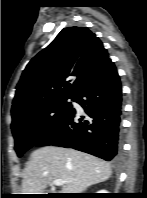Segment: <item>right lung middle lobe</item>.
<instances>
[{"mask_svg":"<svg viewBox=\"0 0 147 198\" xmlns=\"http://www.w3.org/2000/svg\"><path fill=\"white\" fill-rule=\"evenodd\" d=\"M67 99L39 106L12 122L11 129L18 157L49 136L63 122L72 110Z\"/></svg>","mask_w":147,"mask_h":198,"instance_id":"1","label":"right lung middle lobe"}]
</instances>
